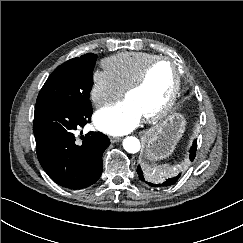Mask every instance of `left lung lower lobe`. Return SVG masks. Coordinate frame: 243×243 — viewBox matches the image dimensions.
<instances>
[{
	"mask_svg": "<svg viewBox=\"0 0 243 243\" xmlns=\"http://www.w3.org/2000/svg\"><path fill=\"white\" fill-rule=\"evenodd\" d=\"M196 148H197V141L194 140L192 147L190 148V160L193 161L196 155ZM137 172L139 175V179L141 181H145L143 178V173L142 170L140 168V166H138L137 168ZM181 174H178L177 176L170 178L168 180H166L165 182H163L162 184H153V183H148V185L152 186V187H158V186H171L173 184H175L177 182V180L179 179ZM146 182V181H145ZM147 183V182H146Z\"/></svg>",
	"mask_w": 243,
	"mask_h": 243,
	"instance_id": "left-lung-lower-lobe-1",
	"label": "left lung lower lobe"
}]
</instances>
